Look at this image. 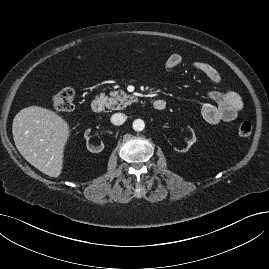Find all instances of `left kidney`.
<instances>
[{"label":"left kidney","instance_id":"1","mask_svg":"<svg viewBox=\"0 0 269 269\" xmlns=\"http://www.w3.org/2000/svg\"><path fill=\"white\" fill-rule=\"evenodd\" d=\"M189 131L192 133V137L190 141H188V146L185 149H182V147L174 148L177 152H181L182 154L187 151L191 145H193L196 142V136L192 128H189Z\"/></svg>","mask_w":269,"mask_h":269}]
</instances>
